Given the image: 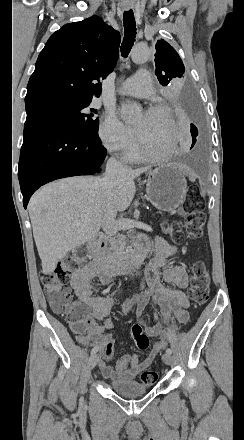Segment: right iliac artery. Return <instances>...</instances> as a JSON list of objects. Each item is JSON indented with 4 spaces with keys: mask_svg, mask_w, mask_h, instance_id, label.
Returning a JSON list of instances; mask_svg holds the SVG:
<instances>
[{
    "mask_svg": "<svg viewBox=\"0 0 244 440\" xmlns=\"http://www.w3.org/2000/svg\"><path fill=\"white\" fill-rule=\"evenodd\" d=\"M127 302H128V300H126L124 303H123V305H122V308H124L126 305H127ZM98 347L97 346H95L93 349H92V351H91V354H95L97 351H98Z\"/></svg>",
    "mask_w": 244,
    "mask_h": 440,
    "instance_id": "82829eb1",
    "label": "right iliac artery"
}]
</instances>
